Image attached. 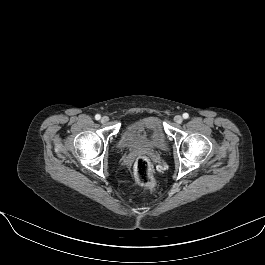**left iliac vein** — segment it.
Returning a JSON list of instances; mask_svg holds the SVG:
<instances>
[{"label":"left iliac vein","mask_w":265,"mask_h":265,"mask_svg":"<svg viewBox=\"0 0 265 265\" xmlns=\"http://www.w3.org/2000/svg\"><path fill=\"white\" fill-rule=\"evenodd\" d=\"M174 121H175L177 124H181L182 121H183V118H182V116H180V115H176V116L174 117Z\"/></svg>","instance_id":"1"}]
</instances>
